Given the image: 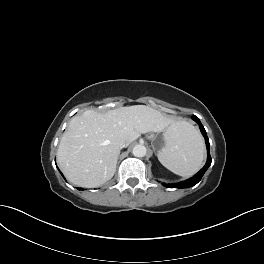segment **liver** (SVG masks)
I'll return each instance as SVG.
<instances>
[{
  "mask_svg": "<svg viewBox=\"0 0 264 264\" xmlns=\"http://www.w3.org/2000/svg\"><path fill=\"white\" fill-rule=\"evenodd\" d=\"M176 123L145 105L110 110H87L72 118L63 134L57 161L73 184L93 188L111 179L116 170L120 142L126 146L147 132H162Z\"/></svg>",
  "mask_w": 264,
  "mask_h": 264,
  "instance_id": "6515ba94",
  "label": "liver"
}]
</instances>
